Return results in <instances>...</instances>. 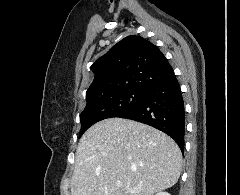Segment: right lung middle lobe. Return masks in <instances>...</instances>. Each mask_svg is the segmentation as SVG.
I'll use <instances>...</instances> for the list:
<instances>
[{
    "label": "right lung middle lobe",
    "mask_w": 240,
    "mask_h": 195,
    "mask_svg": "<svg viewBox=\"0 0 240 195\" xmlns=\"http://www.w3.org/2000/svg\"><path fill=\"white\" fill-rule=\"evenodd\" d=\"M146 93L128 89L94 99H86V107L80 115L79 137L94 123L106 118L119 117L137 107L144 100Z\"/></svg>",
    "instance_id": "dd1d6c3e"
}]
</instances>
